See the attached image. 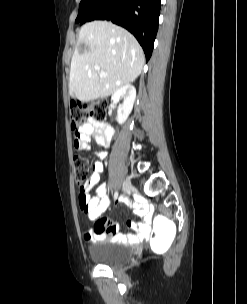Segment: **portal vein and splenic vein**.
Instances as JSON below:
<instances>
[{
  "label": "portal vein and splenic vein",
  "mask_w": 247,
  "mask_h": 304,
  "mask_svg": "<svg viewBox=\"0 0 247 304\" xmlns=\"http://www.w3.org/2000/svg\"><path fill=\"white\" fill-rule=\"evenodd\" d=\"M95 70L96 71H100V67L99 66H95ZM99 74H100V77H106L107 76V74L105 72H103V71H101Z\"/></svg>",
  "instance_id": "18ae733b"
}]
</instances>
